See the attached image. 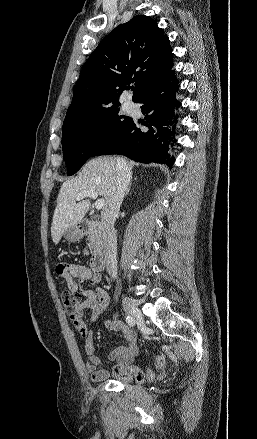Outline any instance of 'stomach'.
Returning <instances> with one entry per match:
<instances>
[{"label":"stomach","mask_w":257,"mask_h":439,"mask_svg":"<svg viewBox=\"0 0 257 439\" xmlns=\"http://www.w3.org/2000/svg\"><path fill=\"white\" fill-rule=\"evenodd\" d=\"M80 236H81V232L76 226L69 228L64 233L65 239L68 240L69 242L77 241L80 238Z\"/></svg>","instance_id":"stomach-1"}]
</instances>
